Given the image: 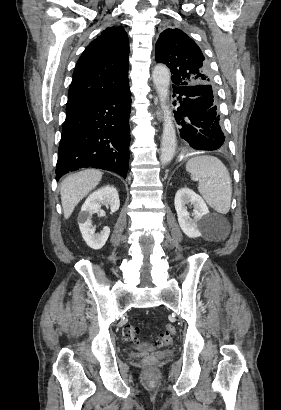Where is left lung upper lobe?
Returning <instances> with one entry per match:
<instances>
[{
    "label": "left lung upper lobe",
    "mask_w": 281,
    "mask_h": 410,
    "mask_svg": "<svg viewBox=\"0 0 281 410\" xmlns=\"http://www.w3.org/2000/svg\"><path fill=\"white\" fill-rule=\"evenodd\" d=\"M156 61L171 70L173 86L211 85L209 65L198 45L180 29L164 30L156 43Z\"/></svg>",
    "instance_id": "5c2ea615"
}]
</instances>
